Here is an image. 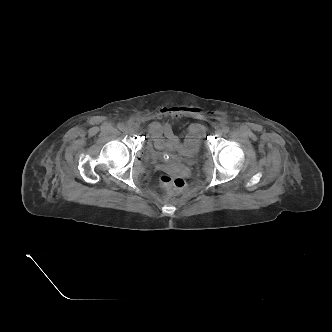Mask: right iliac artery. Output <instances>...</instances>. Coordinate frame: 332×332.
Segmentation results:
<instances>
[{
	"mask_svg": "<svg viewBox=\"0 0 332 332\" xmlns=\"http://www.w3.org/2000/svg\"><path fill=\"white\" fill-rule=\"evenodd\" d=\"M117 127H118V129H120V130H124V129H125V125H124L123 123H119V124L117 125Z\"/></svg>",
	"mask_w": 332,
	"mask_h": 332,
	"instance_id": "obj_1",
	"label": "right iliac artery"
}]
</instances>
